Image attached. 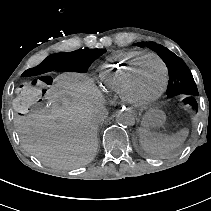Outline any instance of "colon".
Segmentation results:
<instances>
[{"mask_svg":"<svg viewBox=\"0 0 211 211\" xmlns=\"http://www.w3.org/2000/svg\"><path fill=\"white\" fill-rule=\"evenodd\" d=\"M52 84L53 79L43 75L19 85L13 102L14 111L18 115L25 116L35 104L42 101Z\"/></svg>","mask_w":211,"mask_h":211,"instance_id":"obj_1","label":"colon"}]
</instances>
